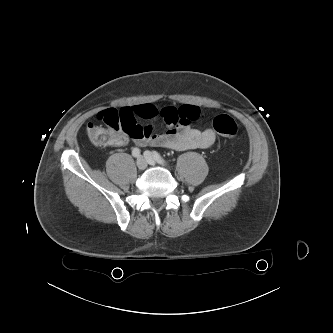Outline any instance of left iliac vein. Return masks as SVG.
Listing matches in <instances>:
<instances>
[{"instance_id": "1", "label": "left iliac vein", "mask_w": 333, "mask_h": 333, "mask_svg": "<svg viewBox=\"0 0 333 333\" xmlns=\"http://www.w3.org/2000/svg\"><path fill=\"white\" fill-rule=\"evenodd\" d=\"M145 158H146L148 164H150V165H155L156 164V160L151 155L146 156Z\"/></svg>"}]
</instances>
